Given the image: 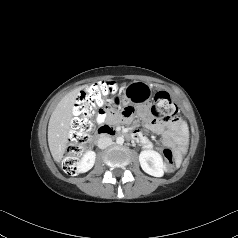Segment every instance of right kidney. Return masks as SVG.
<instances>
[{
	"mask_svg": "<svg viewBox=\"0 0 238 238\" xmlns=\"http://www.w3.org/2000/svg\"><path fill=\"white\" fill-rule=\"evenodd\" d=\"M96 153L94 151H87L81 158L80 164L78 166L79 172L89 171L95 163Z\"/></svg>",
	"mask_w": 238,
	"mask_h": 238,
	"instance_id": "ca27d5eb",
	"label": "right kidney"
}]
</instances>
